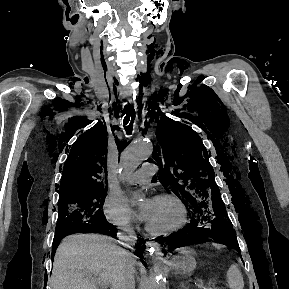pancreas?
I'll return each mask as SVG.
<instances>
[{
    "label": "pancreas",
    "mask_w": 289,
    "mask_h": 289,
    "mask_svg": "<svg viewBox=\"0 0 289 289\" xmlns=\"http://www.w3.org/2000/svg\"><path fill=\"white\" fill-rule=\"evenodd\" d=\"M205 289H218L215 285L205 286Z\"/></svg>",
    "instance_id": "cf45deb5"
}]
</instances>
